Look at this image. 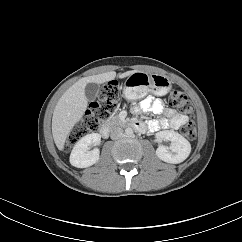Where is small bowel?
<instances>
[{"instance_id": "1", "label": "small bowel", "mask_w": 242, "mask_h": 242, "mask_svg": "<svg viewBox=\"0 0 242 242\" xmlns=\"http://www.w3.org/2000/svg\"><path fill=\"white\" fill-rule=\"evenodd\" d=\"M134 112H152L154 114H164L165 117L161 119H154L147 123L135 121V128L141 132L146 130L157 131L162 129L177 130L183 126L188 117L184 114L176 112L172 108L165 107L160 99H155L153 96H148L143 99L138 107H134Z\"/></svg>"}]
</instances>
